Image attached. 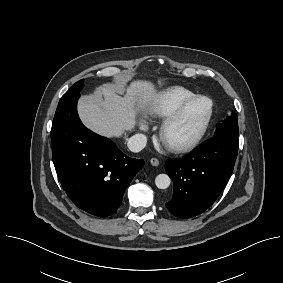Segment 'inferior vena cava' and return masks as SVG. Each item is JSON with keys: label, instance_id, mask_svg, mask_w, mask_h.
Instances as JSON below:
<instances>
[{"label": "inferior vena cava", "instance_id": "inferior-vena-cava-1", "mask_svg": "<svg viewBox=\"0 0 283 283\" xmlns=\"http://www.w3.org/2000/svg\"><path fill=\"white\" fill-rule=\"evenodd\" d=\"M147 138L143 134H135L128 139L127 146L132 152H139L145 148Z\"/></svg>", "mask_w": 283, "mask_h": 283}]
</instances>
